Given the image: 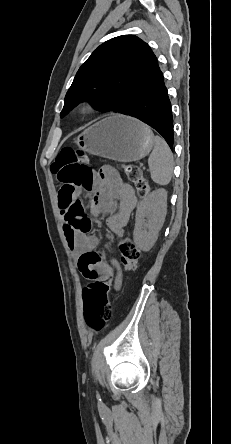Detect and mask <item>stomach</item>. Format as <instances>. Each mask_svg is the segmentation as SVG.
I'll return each instance as SVG.
<instances>
[{"label":"stomach","instance_id":"stomach-1","mask_svg":"<svg viewBox=\"0 0 231 444\" xmlns=\"http://www.w3.org/2000/svg\"><path fill=\"white\" fill-rule=\"evenodd\" d=\"M74 143L92 155L119 162H133L149 154L154 146V136L139 120L117 114L84 130Z\"/></svg>","mask_w":231,"mask_h":444}]
</instances>
